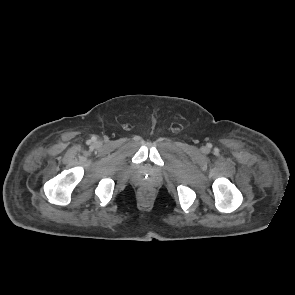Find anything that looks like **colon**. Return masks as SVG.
<instances>
[{"instance_id": "1", "label": "colon", "mask_w": 295, "mask_h": 295, "mask_svg": "<svg viewBox=\"0 0 295 295\" xmlns=\"http://www.w3.org/2000/svg\"><path fill=\"white\" fill-rule=\"evenodd\" d=\"M141 194L144 197H148L150 195V189L149 188H143L142 191H141Z\"/></svg>"}]
</instances>
